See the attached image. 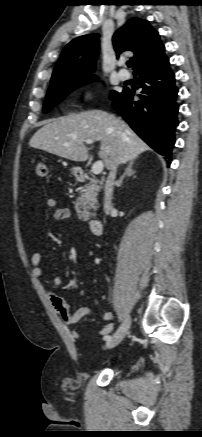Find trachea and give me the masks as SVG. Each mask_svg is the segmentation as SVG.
<instances>
[{
  "label": "trachea",
  "instance_id": "1",
  "mask_svg": "<svg viewBox=\"0 0 202 437\" xmlns=\"http://www.w3.org/2000/svg\"><path fill=\"white\" fill-rule=\"evenodd\" d=\"M127 66H128V67H131V66H132V63H131L130 61H128V62H127Z\"/></svg>",
  "mask_w": 202,
  "mask_h": 437
}]
</instances>
